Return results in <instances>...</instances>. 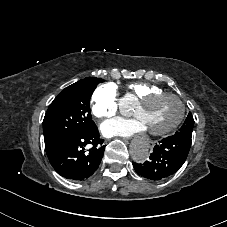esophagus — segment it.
I'll use <instances>...</instances> for the list:
<instances>
[{
	"mask_svg": "<svg viewBox=\"0 0 227 227\" xmlns=\"http://www.w3.org/2000/svg\"><path fill=\"white\" fill-rule=\"evenodd\" d=\"M155 144H156L155 141L152 139H149L146 142L147 147L151 150L155 148V146H156Z\"/></svg>",
	"mask_w": 227,
	"mask_h": 227,
	"instance_id": "esophagus-1",
	"label": "esophagus"
}]
</instances>
